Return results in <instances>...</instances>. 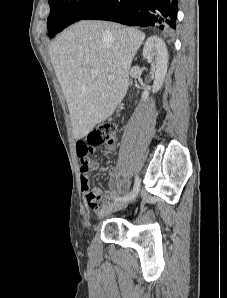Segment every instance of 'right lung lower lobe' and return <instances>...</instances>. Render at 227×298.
I'll return each mask as SVG.
<instances>
[{
    "instance_id": "98d812e1",
    "label": "right lung lower lobe",
    "mask_w": 227,
    "mask_h": 298,
    "mask_svg": "<svg viewBox=\"0 0 227 298\" xmlns=\"http://www.w3.org/2000/svg\"><path fill=\"white\" fill-rule=\"evenodd\" d=\"M177 0H104L83 19L114 21L130 26L175 29Z\"/></svg>"
}]
</instances>
